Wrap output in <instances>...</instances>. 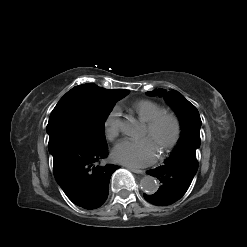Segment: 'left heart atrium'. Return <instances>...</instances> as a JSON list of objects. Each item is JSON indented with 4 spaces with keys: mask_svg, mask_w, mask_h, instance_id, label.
<instances>
[{
    "mask_svg": "<svg viewBox=\"0 0 247 247\" xmlns=\"http://www.w3.org/2000/svg\"><path fill=\"white\" fill-rule=\"evenodd\" d=\"M112 157L127 166L145 167L156 160L157 147L150 138L123 140L114 147Z\"/></svg>",
    "mask_w": 247,
    "mask_h": 247,
    "instance_id": "39dd6f15",
    "label": "left heart atrium"
}]
</instances>
